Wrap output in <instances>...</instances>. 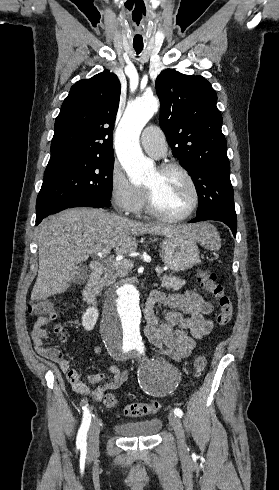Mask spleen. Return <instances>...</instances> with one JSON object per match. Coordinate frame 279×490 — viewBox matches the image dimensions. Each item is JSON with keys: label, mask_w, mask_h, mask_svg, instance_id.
I'll use <instances>...</instances> for the list:
<instances>
[{"label": "spleen", "mask_w": 279, "mask_h": 490, "mask_svg": "<svg viewBox=\"0 0 279 490\" xmlns=\"http://www.w3.org/2000/svg\"><path fill=\"white\" fill-rule=\"evenodd\" d=\"M197 242H200L201 246H204L206 250H212V252H217L221 248L220 236L212 224H206V228L203 234H199Z\"/></svg>", "instance_id": "obj_1"}]
</instances>
